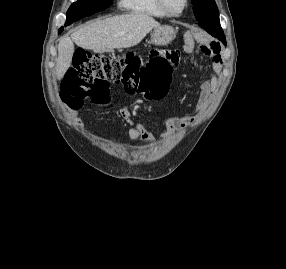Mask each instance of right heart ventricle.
Instances as JSON below:
<instances>
[{
	"label": "right heart ventricle",
	"mask_w": 286,
	"mask_h": 269,
	"mask_svg": "<svg viewBox=\"0 0 286 269\" xmlns=\"http://www.w3.org/2000/svg\"><path fill=\"white\" fill-rule=\"evenodd\" d=\"M119 7L126 13L137 16L166 18L157 0H119Z\"/></svg>",
	"instance_id": "right-heart-ventricle-1"
}]
</instances>
